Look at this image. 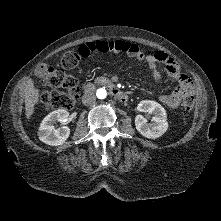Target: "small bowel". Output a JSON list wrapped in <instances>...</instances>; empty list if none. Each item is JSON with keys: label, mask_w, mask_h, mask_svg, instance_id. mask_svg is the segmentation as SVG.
<instances>
[{"label": "small bowel", "mask_w": 221, "mask_h": 221, "mask_svg": "<svg viewBox=\"0 0 221 221\" xmlns=\"http://www.w3.org/2000/svg\"><path fill=\"white\" fill-rule=\"evenodd\" d=\"M78 52L83 58L93 53L126 54L139 62L147 64L150 74L156 82L161 80L159 65H164L166 73L176 82L175 90L169 95H161L159 100L170 108H177L186 98L193 97V87L188 77L180 71L179 65L163 51L144 54L132 42L125 40H93L81 44Z\"/></svg>", "instance_id": "c3829d8e"}]
</instances>
